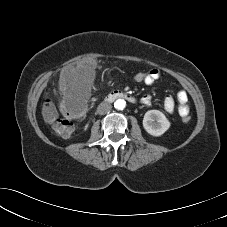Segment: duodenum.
I'll return each mask as SVG.
<instances>
[{"label": "duodenum", "instance_id": "410a0bca", "mask_svg": "<svg viewBox=\"0 0 227 227\" xmlns=\"http://www.w3.org/2000/svg\"><path fill=\"white\" fill-rule=\"evenodd\" d=\"M118 98H124L126 100H128L129 102L135 103L136 102V98L134 95L125 92V91H121V90H116L111 92L105 99L106 102H112Z\"/></svg>", "mask_w": 227, "mask_h": 227}]
</instances>
